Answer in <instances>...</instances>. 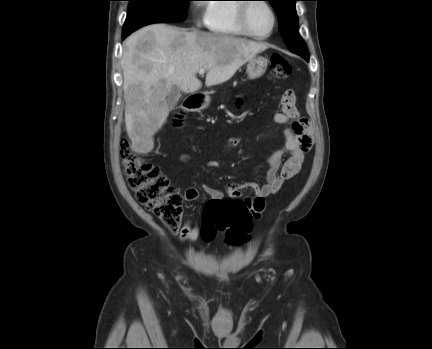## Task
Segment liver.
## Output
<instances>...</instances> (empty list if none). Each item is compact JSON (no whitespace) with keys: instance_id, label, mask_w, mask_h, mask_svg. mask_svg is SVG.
<instances>
[{"instance_id":"liver-1","label":"liver","mask_w":432,"mask_h":349,"mask_svg":"<svg viewBox=\"0 0 432 349\" xmlns=\"http://www.w3.org/2000/svg\"><path fill=\"white\" fill-rule=\"evenodd\" d=\"M269 47L218 33L152 24L123 43L125 124L132 149L141 154L154 147L153 136L169 115L167 96L173 86L184 93L202 87L196 77L207 70V87L228 81L236 71Z\"/></svg>"}]
</instances>
